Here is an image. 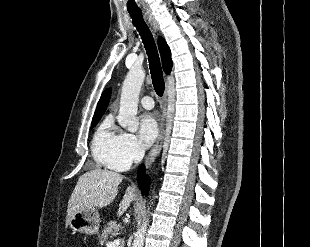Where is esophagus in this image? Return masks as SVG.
<instances>
[{
  "label": "esophagus",
  "instance_id": "34e87169",
  "mask_svg": "<svg viewBox=\"0 0 310 247\" xmlns=\"http://www.w3.org/2000/svg\"><path fill=\"white\" fill-rule=\"evenodd\" d=\"M147 16H148V20L153 30L156 32L158 30V26H157V23L154 17L152 15H147ZM167 101H168V89L166 87V90L163 96V102L165 105L167 104ZM165 134H166V114H164L163 122H162L161 129H160V134L156 141V144L154 145V147L152 148V150L150 151L149 155L146 158V162H145L146 168H149L153 164L157 156L160 154Z\"/></svg>",
  "mask_w": 310,
  "mask_h": 247
}]
</instances>
